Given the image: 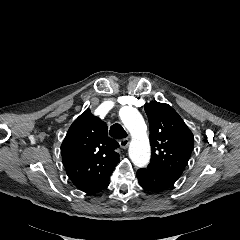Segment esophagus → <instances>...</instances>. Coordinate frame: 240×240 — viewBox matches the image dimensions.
Wrapping results in <instances>:
<instances>
[{
	"instance_id": "obj_1",
	"label": "esophagus",
	"mask_w": 240,
	"mask_h": 240,
	"mask_svg": "<svg viewBox=\"0 0 240 240\" xmlns=\"http://www.w3.org/2000/svg\"><path fill=\"white\" fill-rule=\"evenodd\" d=\"M129 145V140L127 138H123L121 139L120 141V146L123 148V149H126Z\"/></svg>"
}]
</instances>
